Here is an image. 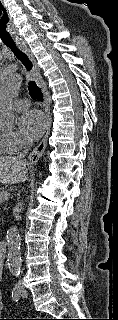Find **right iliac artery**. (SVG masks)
<instances>
[{"label":"right iliac artery","mask_w":118,"mask_h":320,"mask_svg":"<svg viewBox=\"0 0 118 320\" xmlns=\"http://www.w3.org/2000/svg\"><path fill=\"white\" fill-rule=\"evenodd\" d=\"M12 298L15 301H18L20 298V288L18 284H15L13 290H12Z\"/></svg>","instance_id":"obj_1"}]
</instances>
